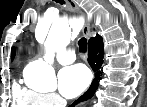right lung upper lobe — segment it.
I'll return each mask as SVG.
<instances>
[{
	"mask_svg": "<svg viewBox=\"0 0 147 107\" xmlns=\"http://www.w3.org/2000/svg\"><path fill=\"white\" fill-rule=\"evenodd\" d=\"M13 56H14V51L12 52V59H13Z\"/></svg>",
	"mask_w": 147,
	"mask_h": 107,
	"instance_id": "1",
	"label": "right lung upper lobe"
}]
</instances>
